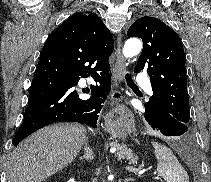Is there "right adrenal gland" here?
Segmentation results:
<instances>
[{
    "mask_svg": "<svg viewBox=\"0 0 211 182\" xmlns=\"http://www.w3.org/2000/svg\"><path fill=\"white\" fill-rule=\"evenodd\" d=\"M93 158V150L88 144V139L84 143V155L80 157L81 160L89 161Z\"/></svg>",
    "mask_w": 211,
    "mask_h": 182,
    "instance_id": "right-adrenal-gland-1",
    "label": "right adrenal gland"
}]
</instances>
